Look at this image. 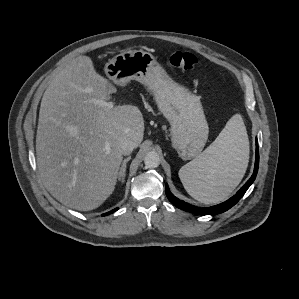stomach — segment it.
I'll list each match as a JSON object with an SVG mask.
<instances>
[{
	"label": "stomach",
	"instance_id": "obj_1",
	"mask_svg": "<svg viewBox=\"0 0 299 299\" xmlns=\"http://www.w3.org/2000/svg\"><path fill=\"white\" fill-rule=\"evenodd\" d=\"M105 73L117 85L136 80L146 86L170 123L172 147L178 155L190 160L201 154L209 128L200 99L172 80L151 53L122 52L105 65Z\"/></svg>",
	"mask_w": 299,
	"mask_h": 299
}]
</instances>
